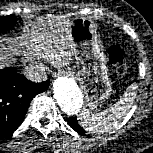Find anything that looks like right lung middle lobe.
I'll return each instance as SVG.
<instances>
[{
	"label": "right lung middle lobe",
	"instance_id": "obj_1",
	"mask_svg": "<svg viewBox=\"0 0 153 153\" xmlns=\"http://www.w3.org/2000/svg\"><path fill=\"white\" fill-rule=\"evenodd\" d=\"M16 21L17 19L13 15L0 16V34L13 28L16 24Z\"/></svg>",
	"mask_w": 153,
	"mask_h": 153
}]
</instances>
